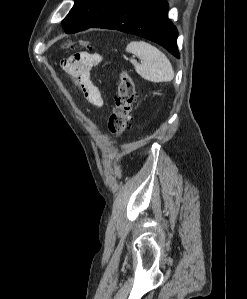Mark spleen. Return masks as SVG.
<instances>
[{"label": "spleen", "instance_id": "1", "mask_svg": "<svg viewBox=\"0 0 247 299\" xmlns=\"http://www.w3.org/2000/svg\"><path fill=\"white\" fill-rule=\"evenodd\" d=\"M126 51L136 55L141 63L131 60L136 72L145 80L151 82H170L174 78L172 64L166 55L157 47L144 42L132 41Z\"/></svg>", "mask_w": 247, "mask_h": 299}]
</instances>
